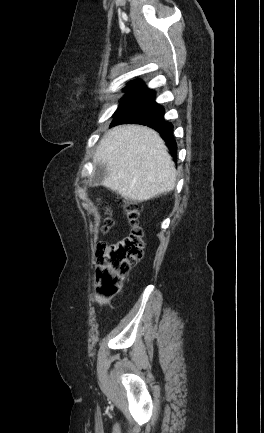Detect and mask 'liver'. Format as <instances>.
Here are the masks:
<instances>
[{"label":"liver","instance_id":"6515ba94","mask_svg":"<svg viewBox=\"0 0 264 433\" xmlns=\"http://www.w3.org/2000/svg\"><path fill=\"white\" fill-rule=\"evenodd\" d=\"M93 161L106 166L103 185L123 198L143 202L176 185L175 164L160 135L140 125H120L100 140Z\"/></svg>","mask_w":264,"mask_h":433}]
</instances>
